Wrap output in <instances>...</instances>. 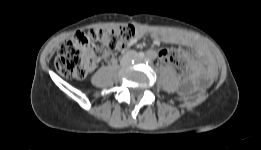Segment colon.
<instances>
[{
    "instance_id": "5ec220e1",
    "label": "colon",
    "mask_w": 261,
    "mask_h": 150,
    "mask_svg": "<svg viewBox=\"0 0 261 150\" xmlns=\"http://www.w3.org/2000/svg\"><path fill=\"white\" fill-rule=\"evenodd\" d=\"M135 35L132 25L79 32L59 48L55 58L56 69L65 77L84 79L101 58L125 50ZM95 41L101 42L103 47H94L92 43ZM162 55L164 63L172 66L181 78L188 77L190 61L186 54L179 50H164Z\"/></svg>"
}]
</instances>
